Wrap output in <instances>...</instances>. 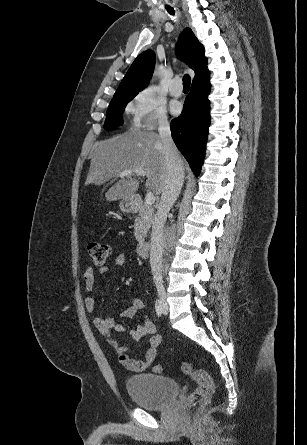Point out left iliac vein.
<instances>
[{
  "label": "left iliac vein",
  "instance_id": "1",
  "mask_svg": "<svg viewBox=\"0 0 307 445\" xmlns=\"http://www.w3.org/2000/svg\"><path fill=\"white\" fill-rule=\"evenodd\" d=\"M167 312H168L167 303L165 301H163V314H167Z\"/></svg>",
  "mask_w": 307,
  "mask_h": 445
}]
</instances>
